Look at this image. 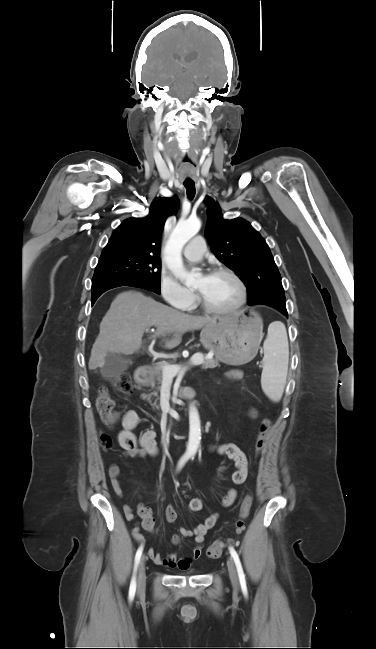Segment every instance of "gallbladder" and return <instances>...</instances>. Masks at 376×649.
Wrapping results in <instances>:
<instances>
[{"label": "gallbladder", "mask_w": 376, "mask_h": 649, "mask_svg": "<svg viewBox=\"0 0 376 649\" xmlns=\"http://www.w3.org/2000/svg\"><path fill=\"white\" fill-rule=\"evenodd\" d=\"M131 364V359L124 355L114 352H108L105 356V363L100 368V372L104 378L118 377L122 372L127 370Z\"/></svg>", "instance_id": "obj_1"}]
</instances>
